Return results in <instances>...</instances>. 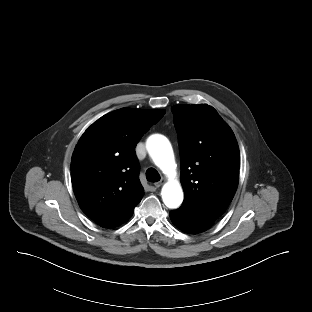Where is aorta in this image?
I'll return each mask as SVG.
<instances>
[{"label": "aorta", "instance_id": "1", "mask_svg": "<svg viewBox=\"0 0 312 312\" xmlns=\"http://www.w3.org/2000/svg\"><path fill=\"white\" fill-rule=\"evenodd\" d=\"M147 150L154 163L170 178L176 169L173 150L168 139L162 135L155 134L147 140ZM164 204L168 208H177L183 201V191L180 184L175 180L167 182L161 191Z\"/></svg>", "mask_w": 312, "mask_h": 312}]
</instances>
